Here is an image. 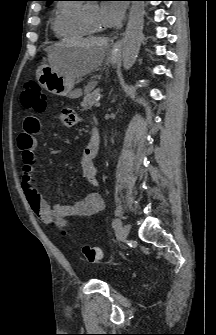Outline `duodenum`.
Instances as JSON below:
<instances>
[{
  "label": "duodenum",
  "instance_id": "410a0bca",
  "mask_svg": "<svg viewBox=\"0 0 216 335\" xmlns=\"http://www.w3.org/2000/svg\"><path fill=\"white\" fill-rule=\"evenodd\" d=\"M92 136L95 140L99 139V133H98L97 129L92 130Z\"/></svg>",
  "mask_w": 216,
  "mask_h": 335
}]
</instances>
